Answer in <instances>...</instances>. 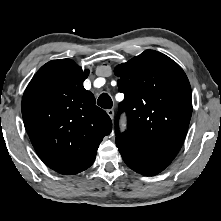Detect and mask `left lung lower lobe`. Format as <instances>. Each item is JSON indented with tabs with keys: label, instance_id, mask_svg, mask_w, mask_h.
Instances as JSON below:
<instances>
[{
	"label": "left lung lower lobe",
	"instance_id": "obj_1",
	"mask_svg": "<svg viewBox=\"0 0 221 221\" xmlns=\"http://www.w3.org/2000/svg\"><path fill=\"white\" fill-rule=\"evenodd\" d=\"M116 145L128 167L142 175L158 174L171 163L143 156L123 142H116Z\"/></svg>",
	"mask_w": 221,
	"mask_h": 221
}]
</instances>
